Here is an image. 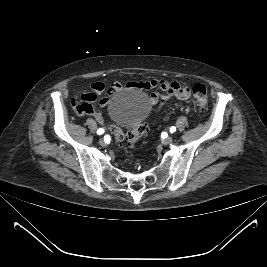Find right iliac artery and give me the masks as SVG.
Wrapping results in <instances>:
<instances>
[{"label": "right iliac artery", "instance_id": "82829eb1", "mask_svg": "<svg viewBox=\"0 0 267 267\" xmlns=\"http://www.w3.org/2000/svg\"><path fill=\"white\" fill-rule=\"evenodd\" d=\"M103 133H104V129L100 128V129L97 130V134L101 135Z\"/></svg>", "mask_w": 267, "mask_h": 267}]
</instances>
